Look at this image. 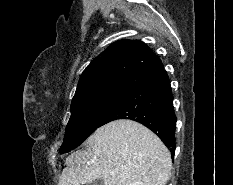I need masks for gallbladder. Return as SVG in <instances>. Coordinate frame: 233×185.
I'll list each match as a JSON object with an SVG mask.
<instances>
[{"instance_id": "bac80fb5", "label": "gallbladder", "mask_w": 233, "mask_h": 185, "mask_svg": "<svg viewBox=\"0 0 233 185\" xmlns=\"http://www.w3.org/2000/svg\"><path fill=\"white\" fill-rule=\"evenodd\" d=\"M89 185H104L102 178H98L95 181L91 182Z\"/></svg>"}]
</instances>
